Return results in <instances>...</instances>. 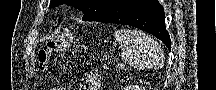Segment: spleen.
I'll list each match as a JSON object with an SVG mask.
<instances>
[{"mask_svg": "<svg viewBox=\"0 0 216 90\" xmlns=\"http://www.w3.org/2000/svg\"><path fill=\"white\" fill-rule=\"evenodd\" d=\"M115 38L120 44L123 60L132 68L144 70L159 66L161 46L149 34L141 30H117Z\"/></svg>", "mask_w": 216, "mask_h": 90, "instance_id": "spleen-1", "label": "spleen"}]
</instances>
